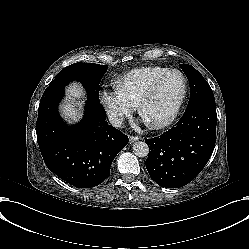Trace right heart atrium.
I'll return each mask as SVG.
<instances>
[{
	"label": "right heart atrium",
	"instance_id": "d8ad5b80",
	"mask_svg": "<svg viewBox=\"0 0 249 249\" xmlns=\"http://www.w3.org/2000/svg\"><path fill=\"white\" fill-rule=\"evenodd\" d=\"M108 114L115 121H119L130 115L132 106L117 94H111L105 101Z\"/></svg>",
	"mask_w": 249,
	"mask_h": 249
}]
</instances>
